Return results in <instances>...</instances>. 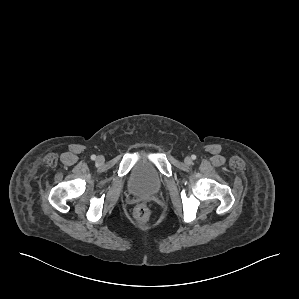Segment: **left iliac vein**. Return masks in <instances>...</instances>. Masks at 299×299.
Here are the masks:
<instances>
[{"label": "left iliac vein", "mask_w": 299, "mask_h": 299, "mask_svg": "<svg viewBox=\"0 0 299 299\" xmlns=\"http://www.w3.org/2000/svg\"><path fill=\"white\" fill-rule=\"evenodd\" d=\"M184 162H185L186 165H190V164L192 163V160H191L190 157H186V158L184 159Z\"/></svg>", "instance_id": "4c4485c4"}]
</instances>
